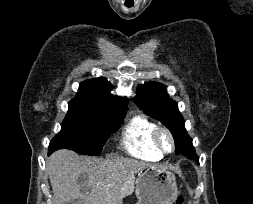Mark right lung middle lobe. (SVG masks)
Instances as JSON below:
<instances>
[{
  "instance_id": "dd1d6c3e",
  "label": "right lung middle lobe",
  "mask_w": 253,
  "mask_h": 204,
  "mask_svg": "<svg viewBox=\"0 0 253 204\" xmlns=\"http://www.w3.org/2000/svg\"><path fill=\"white\" fill-rule=\"evenodd\" d=\"M68 104L69 110L61 124L62 129L50 141L49 151L67 148L85 155H99L126 114L113 116L101 108L76 100H71Z\"/></svg>"
}]
</instances>
